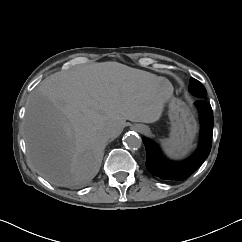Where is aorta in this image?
Listing matches in <instances>:
<instances>
[{
  "label": "aorta",
  "mask_w": 242,
  "mask_h": 242,
  "mask_svg": "<svg viewBox=\"0 0 242 242\" xmlns=\"http://www.w3.org/2000/svg\"><path fill=\"white\" fill-rule=\"evenodd\" d=\"M123 140L128 148L135 149L141 146V138L136 133H127Z\"/></svg>",
  "instance_id": "762f6f07"
}]
</instances>
